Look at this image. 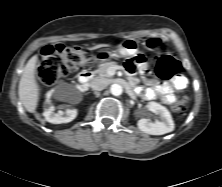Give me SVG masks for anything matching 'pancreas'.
Instances as JSON below:
<instances>
[{"mask_svg":"<svg viewBox=\"0 0 222 187\" xmlns=\"http://www.w3.org/2000/svg\"><path fill=\"white\" fill-rule=\"evenodd\" d=\"M116 67H117L116 62H107V63L101 64L100 67L94 73L98 74L102 78H109L110 75L108 74V69L116 68Z\"/></svg>","mask_w":222,"mask_h":187,"instance_id":"obj_1","label":"pancreas"}]
</instances>
